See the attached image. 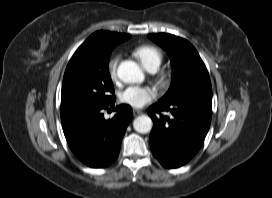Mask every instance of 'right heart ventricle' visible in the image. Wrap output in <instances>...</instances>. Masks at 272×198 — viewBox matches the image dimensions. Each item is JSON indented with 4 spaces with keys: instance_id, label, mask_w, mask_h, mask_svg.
I'll use <instances>...</instances> for the list:
<instances>
[{
    "instance_id": "right-heart-ventricle-1",
    "label": "right heart ventricle",
    "mask_w": 272,
    "mask_h": 198,
    "mask_svg": "<svg viewBox=\"0 0 272 198\" xmlns=\"http://www.w3.org/2000/svg\"><path fill=\"white\" fill-rule=\"evenodd\" d=\"M133 54L148 70L157 69L163 59L161 50L152 45L138 46L133 50Z\"/></svg>"
}]
</instances>
